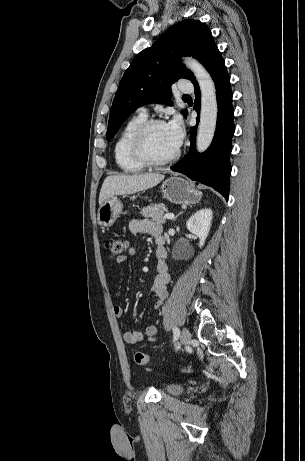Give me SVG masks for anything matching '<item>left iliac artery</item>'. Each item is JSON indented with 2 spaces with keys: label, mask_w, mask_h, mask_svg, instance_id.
Here are the masks:
<instances>
[{
  "label": "left iliac artery",
  "mask_w": 305,
  "mask_h": 461,
  "mask_svg": "<svg viewBox=\"0 0 305 461\" xmlns=\"http://www.w3.org/2000/svg\"><path fill=\"white\" fill-rule=\"evenodd\" d=\"M179 335H180L179 329H178L177 327H174V328H173V337H174V341L178 339Z\"/></svg>",
  "instance_id": "44dca946"
}]
</instances>
